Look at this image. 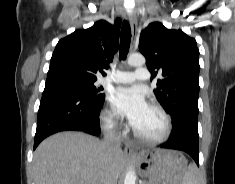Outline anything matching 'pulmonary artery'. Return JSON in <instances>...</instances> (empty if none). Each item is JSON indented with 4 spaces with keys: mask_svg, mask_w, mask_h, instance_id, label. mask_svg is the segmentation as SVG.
Here are the masks:
<instances>
[{
    "mask_svg": "<svg viewBox=\"0 0 235 184\" xmlns=\"http://www.w3.org/2000/svg\"><path fill=\"white\" fill-rule=\"evenodd\" d=\"M149 74L150 69H139L134 72L117 71L108 74L104 78V82L115 84H131L137 80L147 79Z\"/></svg>",
    "mask_w": 235,
    "mask_h": 184,
    "instance_id": "1",
    "label": "pulmonary artery"
}]
</instances>
